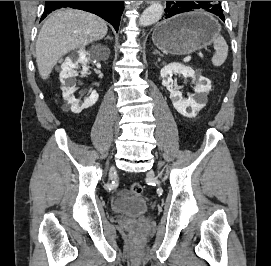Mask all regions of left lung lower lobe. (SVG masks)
<instances>
[{
    "mask_svg": "<svg viewBox=\"0 0 271 266\" xmlns=\"http://www.w3.org/2000/svg\"><path fill=\"white\" fill-rule=\"evenodd\" d=\"M194 9H204L225 21L219 1H167L164 18H169L176 14L192 11Z\"/></svg>",
    "mask_w": 271,
    "mask_h": 266,
    "instance_id": "1",
    "label": "left lung lower lobe"
}]
</instances>
